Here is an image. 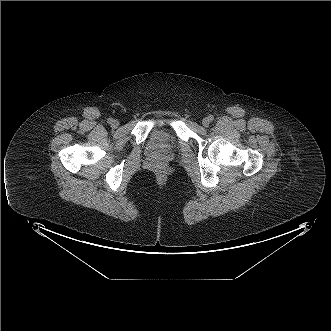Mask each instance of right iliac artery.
<instances>
[{
  "label": "right iliac artery",
  "instance_id": "1",
  "mask_svg": "<svg viewBox=\"0 0 331 331\" xmlns=\"http://www.w3.org/2000/svg\"><path fill=\"white\" fill-rule=\"evenodd\" d=\"M112 122H113V119H112V118H109V119H108V123L111 124Z\"/></svg>",
  "mask_w": 331,
  "mask_h": 331
}]
</instances>
